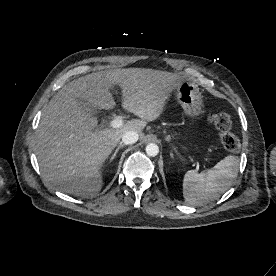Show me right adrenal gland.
Here are the masks:
<instances>
[{
    "label": "right adrenal gland",
    "instance_id": "1",
    "mask_svg": "<svg viewBox=\"0 0 276 276\" xmlns=\"http://www.w3.org/2000/svg\"><path fill=\"white\" fill-rule=\"evenodd\" d=\"M122 147H124V144H122V143L120 142L119 145H118V147L116 148L115 152H114L113 155L111 156L110 161H112V160L116 157V155H117L119 149H121Z\"/></svg>",
    "mask_w": 276,
    "mask_h": 276
}]
</instances>
